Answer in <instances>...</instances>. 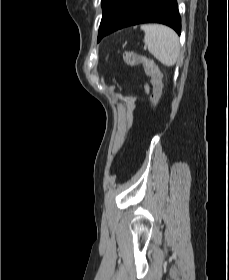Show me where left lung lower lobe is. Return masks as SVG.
<instances>
[{
  "label": "left lung lower lobe",
  "mask_w": 229,
  "mask_h": 280,
  "mask_svg": "<svg viewBox=\"0 0 229 280\" xmlns=\"http://www.w3.org/2000/svg\"><path fill=\"white\" fill-rule=\"evenodd\" d=\"M157 22L170 26L178 35L181 33V18L176 0H128L115 23L98 38L131 25Z\"/></svg>",
  "instance_id": "obj_1"
}]
</instances>
